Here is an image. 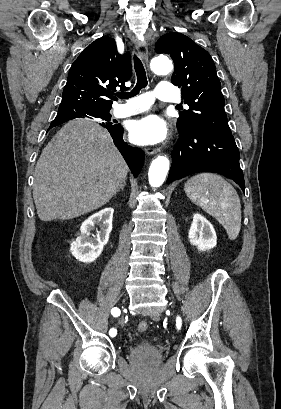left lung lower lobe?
<instances>
[{
	"instance_id": "1",
	"label": "left lung lower lobe",
	"mask_w": 281,
	"mask_h": 409,
	"mask_svg": "<svg viewBox=\"0 0 281 409\" xmlns=\"http://www.w3.org/2000/svg\"><path fill=\"white\" fill-rule=\"evenodd\" d=\"M172 151V165L167 183L193 173L214 172L234 180L245 190L239 164V150L232 134L196 126L179 132Z\"/></svg>"
}]
</instances>
